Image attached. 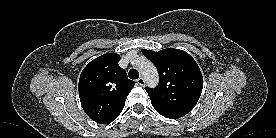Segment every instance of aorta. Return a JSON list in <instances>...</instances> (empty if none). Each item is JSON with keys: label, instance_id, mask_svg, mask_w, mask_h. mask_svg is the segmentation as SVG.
<instances>
[{"label": "aorta", "instance_id": "aorta-1", "mask_svg": "<svg viewBox=\"0 0 276 138\" xmlns=\"http://www.w3.org/2000/svg\"><path fill=\"white\" fill-rule=\"evenodd\" d=\"M141 62L138 64V69L142 74L147 85L155 87L158 84L159 76L156 67L146 59H140Z\"/></svg>", "mask_w": 276, "mask_h": 138}]
</instances>
